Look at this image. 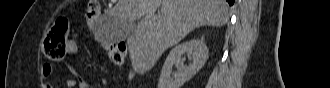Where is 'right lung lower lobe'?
<instances>
[{
    "instance_id": "obj_1",
    "label": "right lung lower lobe",
    "mask_w": 330,
    "mask_h": 88,
    "mask_svg": "<svg viewBox=\"0 0 330 88\" xmlns=\"http://www.w3.org/2000/svg\"><path fill=\"white\" fill-rule=\"evenodd\" d=\"M226 1H227L230 5H233L235 0H226Z\"/></svg>"
}]
</instances>
